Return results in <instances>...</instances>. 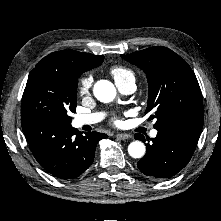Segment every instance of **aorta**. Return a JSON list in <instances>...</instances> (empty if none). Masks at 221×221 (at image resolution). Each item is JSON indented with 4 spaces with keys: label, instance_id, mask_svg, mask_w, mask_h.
I'll use <instances>...</instances> for the list:
<instances>
[{
    "label": "aorta",
    "instance_id": "762f6f07",
    "mask_svg": "<svg viewBox=\"0 0 221 221\" xmlns=\"http://www.w3.org/2000/svg\"><path fill=\"white\" fill-rule=\"evenodd\" d=\"M94 96L103 103H109L116 97V89L114 85L107 80L97 81L93 88ZM146 148L141 141H133L128 146V153L133 158H142Z\"/></svg>",
    "mask_w": 221,
    "mask_h": 221
}]
</instances>
